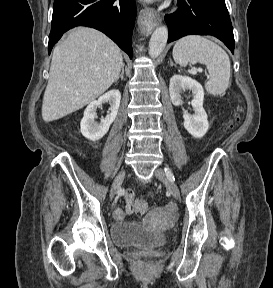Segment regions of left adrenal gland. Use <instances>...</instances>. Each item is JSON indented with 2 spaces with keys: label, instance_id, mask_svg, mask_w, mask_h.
Returning <instances> with one entry per match:
<instances>
[{
  "label": "left adrenal gland",
  "instance_id": "left-adrenal-gland-1",
  "mask_svg": "<svg viewBox=\"0 0 273 288\" xmlns=\"http://www.w3.org/2000/svg\"><path fill=\"white\" fill-rule=\"evenodd\" d=\"M170 65L174 66V63H173V61L171 59H170Z\"/></svg>",
  "mask_w": 273,
  "mask_h": 288
}]
</instances>
